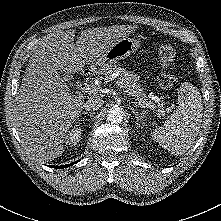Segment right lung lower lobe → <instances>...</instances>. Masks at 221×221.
Here are the masks:
<instances>
[{"label":"right lung lower lobe","mask_w":221,"mask_h":221,"mask_svg":"<svg viewBox=\"0 0 221 221\" xmlns=\"http://www.w3.org/2000/svg\"><path fill=\"white\" fill-rule=\"evenodd\" d=\"M80 160L76 161L75 163L79 162ZM74 163H71V164H66V165H61V166H51L49 165L50 167H54V168H65V167H69V166H72Z\"/></svg>","instance_id":"right-lung-lower-lobe-1"}]
</instances>
